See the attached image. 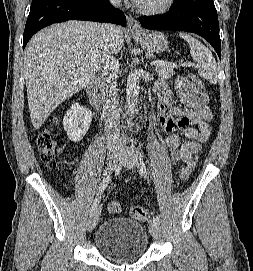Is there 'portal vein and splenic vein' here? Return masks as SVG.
I'll return each mask as SVG.
<instances>
[{"label": "portal vein and splenic vein", "mask_w": 253, "mask_h": 271, "mask_svg": "<svg viewBox=\"0 0 253 271\" xmlns=\"http://www.w3.org/2000/svg\"><path fill=\"white\" fill-rule=\"evenodd\" d=\"M150 64H151V65H156V66H157V65H161V66L166 65V66H169V67H172V68L177 67V65H176L175 63H169V62L158 61V60L153 61V62H151ZM182 66H187V64L184 63V64H182Z\"/></svg>", "instance_id": "obj_1"}]
</instances>
